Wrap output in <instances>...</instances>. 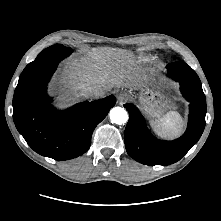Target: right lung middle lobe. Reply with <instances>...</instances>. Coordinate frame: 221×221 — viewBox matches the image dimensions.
Returning a JSON list of instances; mask_svg holds the SVG:
<instances>
[{
  "mask_svg": "<svg viewBox=\"0 0 221 221\" xmlns=\"http://www.w3.org/2000/svg\"><path fill=\"white\" fill-rule=\"evenodd\" d=\"M49 49L72 50V49L62 46V45H53V46L49 47Z\"/></svg>",
  "mask_w": 221,
  "mask_h": 221,
  "instance_id": "1",
  "label": "right lung middle lobe"
}]
</instances>
